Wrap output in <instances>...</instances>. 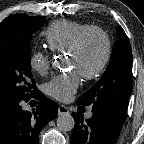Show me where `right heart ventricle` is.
<instances>
[{"mask_svg": "<svg viewBox=\"0 0 144 144\" xmlns=\"http://www.w3.org/2000/svg\"><path fill=\"white\" fill-rule=\"evenodd\" d=\"M91 27L77 21L59 20L48 26L44 31V37L52 51H69L77 37Z\"/></svg>", "mask_w": 144, "mask_h": 144, "instance_id": "1", "label": "right heart ventricle"}]
</instances>
